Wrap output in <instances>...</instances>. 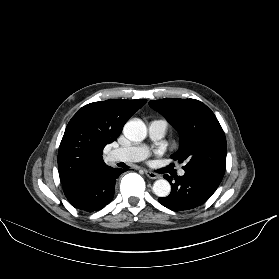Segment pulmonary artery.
I'll return each instance as SVG.
<instances>
[{
    "label": "pulmonary artery",
    "mask_w": 279,
    "mask_h": 279,
    "mask_svg": "<svg viewBox=\"0 0 279 279\" xmlns=\"http://www.w3.org/2000/svg\"><path fill=\"white\" fill-rule=\"evenodd\" d=\"M167 128V123L164 120H153L149 124V136L152 140H160ZM148 150L144 145H132L129 147L116 148L110 152V159L112 161H122V162H138L147 157ZM185 171L181 169L179 175H184Z\"/></svg>",
    "instance_id": "obj_1"
}]
</instances>
